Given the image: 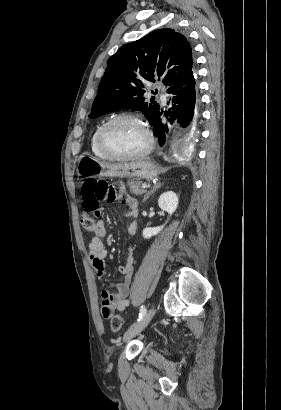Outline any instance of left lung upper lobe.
<instances>
[{
  "instance_id": "left-lung-upper-lobe-1",
  "label": "left lung upper lobe",
  "mask_w": 281,
  "mask_h": 410,
  "mask_svg": "<svg viewBox=\"0 0 281 410\" xmlns=\"http://www.w3.org/2000/svg\"><path fill=\"white\" fill-rule=\"evenodd\" d=\"M89 118L118 109L142 111L150 124L159 104L143 97L146 81L172 86L195 70L186 37L173 29L155 30L122 46L107 62Z\"/></svg>"
}]
</instances>
